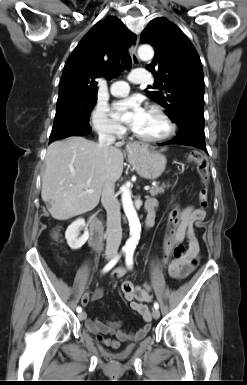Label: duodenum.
Returning <instances> with one entry per match:
<instances>
[{
    "label": "duodenum",
    "instance_id": "obj_1",
    "mask_svg": "<svg viewBox=\"0 0 247 385\" xmlns=\"http://www.w3.org/2000/svg\"><path fill=\"white\" fill-rule=\"evenodd\" d=\"M90 222V238L89 244L94 248H100L102 245L103 230L102 224L98 221L95 215H91L89 218ZM155 223L154 212H150L145 220V227L150 229Z\"/></svg>",
    "mask_w": 247,
    "mask_h": 385
}]
</instances>
